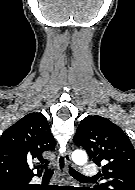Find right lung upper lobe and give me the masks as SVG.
Masks as SVG:
<instances>
[{
  "mask_svg": "<svg viewBox=\"0 0 135 190\" xmlns=\"http://www.w3.org/2000/svg\"><path fill=\"white\" fill-rule=\"evenodd\" d=\"M55 144L43 114L33 112L21 118L0 138V182L20 181L29 188L33 176L31 160L45 163L42 154L53 150Z\"/></svg>",
  "mask_w": 135,
  "mask_h": 190,
  "instance_id": "cb5924a9",
  "label": "right lung upper lobe"
}]
</instances>
